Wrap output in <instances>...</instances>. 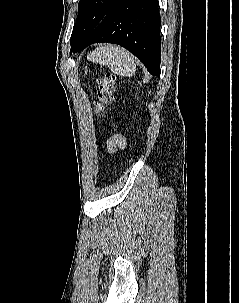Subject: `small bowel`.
Instances as JSON below:
<instances>
[{
	"label": "small bowel",
	"instance_id": "c3829d8e",
	"mask_svg": "<svg viewBox=\"0 0 239 303\" xmlns=\"http://www.w3.org/2000/svg\"><path fill=\"white\" fill-rule=\"evenodd\" d=\"M125 139L120 135H113L107 141V151L115 155L118 150L125 148Z\"/></svg>",
	"mask_w": 239,
	"mask_h": 303
}]
</instances>
